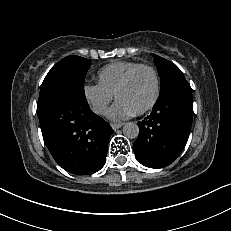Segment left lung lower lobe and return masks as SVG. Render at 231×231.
Returning a JSON list of instances; mask_svg holds the SVG:
<instances>
[{
	"label": "left lung lower lobe",
	"mask_w": 231,
	"mask_h": 231,
	"mask_svg": "<svg viewBox=\"0 0 231 231\" xmlns=\"http://www.w3.org/2000/svg\"><path fill=\"white\" fill-rule=\"evenodd\" d=\"M192 116V91L186 80L176 81L160 91L153 112L138 122L134 152L139 162L149 168L170 165L187 143Z\"/></svg>",
	"instance_id": "1"
}]
</instances>
